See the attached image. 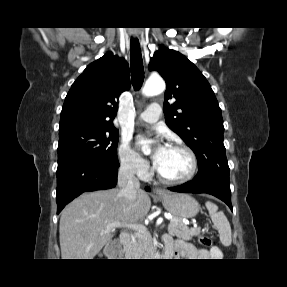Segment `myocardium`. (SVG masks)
Returning <instances> with one entry per match:
<instances>
[{"label":"myocardium","mask_w":287,"mask_h":287,"mask_svg":"<svg viewBox=\"0 0 287 287\" xmlns=\"http://www.w3.org/2000/svg\"><path fill=\"white\" fill-rule=\"evenodd\" d=\"M168 147L185 151L190 158L191 168L185 176H183L181 178L171 179V178L165 177L159 171L157 166L155 165L154 169L156 171L158 179L163 183L171 184V185H178V184H184L186 182H189L190 180H192L194 178V176L196 175V173L198 171V167H199V161H198V157H197L195 151L191 147H189L188 145H186L184 143H171Z\"/></svg>","instance_id":"obj_1"}]
</instances>
